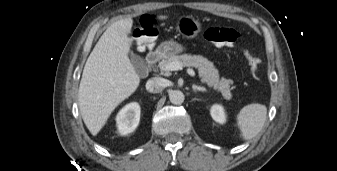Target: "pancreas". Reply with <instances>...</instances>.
<instances>
[{"instance_id":"cf45deb5","label":"pancreas","mask_w":337,"mask_h":171,"mask_svg":"<svg viewBox=\"0 0 337 171\" xmlns=\"http://www.w3.org/2000/svg\"><path fill=\"white\" fill-rule=\"evenodd\" d=\"M170 62H178L182 67L197 68L203 83H206L209 87H213L214 89L220 91L225 99L229 100L231 98L230 84H232L233 81L223 77L220 78L218 70L214 67L213 63L203 56L183 54L162 59L158 64L162 73L165 72L168 74L166 65Z\"/></svg>"}]
</instances>
